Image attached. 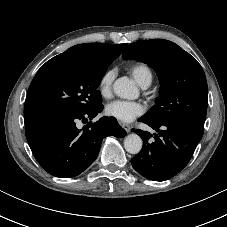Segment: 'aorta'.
<instances>
[{
	"label": "aorta",
	"mask_w": 227,
	"mask_h": 227,
	"mask_svg": "<svg viewBox=\"0 0 227 227\" xmlns=\"http://www.w3.org/2000/svg\"><path fill=\"white\" fill-rule=\"evenodd\" d=\"M113 90L117 96L124 99H135L138 96L134 83L125 78L117 79L113 84ZM142 145V139L137 134H129L124 140L125 150L130 154H138Z\"/></svg>",
	"instance_id": "1"
}]
</instances>
